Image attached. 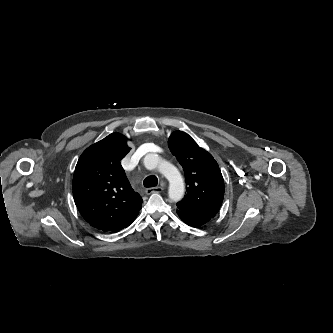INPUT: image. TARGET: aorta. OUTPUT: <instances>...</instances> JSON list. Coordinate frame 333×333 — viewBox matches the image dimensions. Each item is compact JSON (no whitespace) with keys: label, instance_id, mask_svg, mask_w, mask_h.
I'll list each match as a JSON object with an SVG mask.
<instances>
[{"label":"aorta","instance_id":"aorta-1","mask_svg":"<svg viewBox=\"0 0 333 333\" xmlns=\"http://www.w3.org/2000/svg\"><path fill=\"white\" fill-rule=\"evenodd\" d=\"M146 167L155 169L158 168L160 172L166 177L169 182L168 194L172 201H179L184 195V182L179 174V171L171 164L160 162L156 154H148L144 158Z\"/></svg>","mask_w":333,"mask_h":333}]
</instances>
